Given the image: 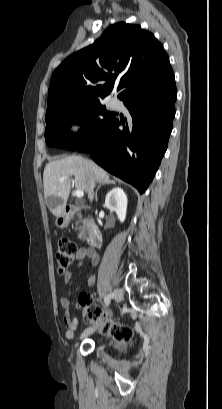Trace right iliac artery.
<instances>
[{
	"instance_id": "1",
	"label": "right iliac artery",
	"mask_w": 222,
	"mask_h": 409,
	"mask_svg": "<svg viewBox=\"0 0 222 409\" xmlns=\"http://www.w3.org/2000/svg\"><path fill=\"white\" fill-rule=\"evenodd\" d=\"M113 297V294H108L105 298H104V302L106 306H109L110 304V300Z\"/></svg>"
}]
</instances>
